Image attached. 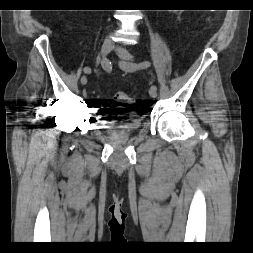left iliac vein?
Instances as JSON below:
<instances>
[{"label":"left iliac vein","instance_id":"obj_1","mask_svg":"<svg viewBox=\"0 0 253 253\" xmlns=\"http://www.w3.org/2000/svg\"><path fill=\"white\" fill-rule=\"evenodd\" d=\"M114 50L120 56V58H122V60H123V62L120 64V67L123 70L130 71L127 67L124 66V64H131V63H133V57H132V55L127 50H125L124 48H122L120 46H116L114 48ZM149 95L152 98H155L157 96V89L155 87H151L149 89Z\"/></svg>","mask_w":253,"mask_h":253}]
</instances>
